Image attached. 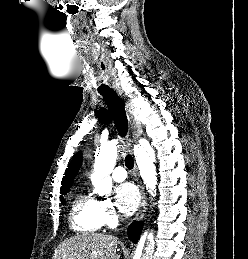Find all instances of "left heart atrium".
I'll return each mask as SVG.
<instances>
[{
	"mask_svg": "<svg viewBox=\"0 0 248 259\" xmlns=\"http://www.w3.org/2000/svg\"><path fill=\"white\" fill-rule=\"evenodd\" d=\"M117 206L125 215H131L139 205V192L131 183H122L115 189Z\"/></svg>",
	"mask_w": 248,
	"mask_h": 259,
	"instance_id": "1",
	"label": "left heart atrium"
}]
</instances>
